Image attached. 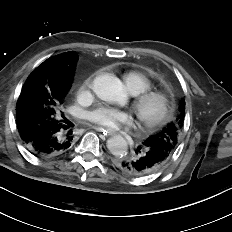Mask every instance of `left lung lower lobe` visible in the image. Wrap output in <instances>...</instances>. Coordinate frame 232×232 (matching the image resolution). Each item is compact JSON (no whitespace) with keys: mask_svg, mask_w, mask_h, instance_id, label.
<instances>
[{"mask_svg":"<svg viewBox=\"0 0 232 232\" xmlns=\"http://www.w3.org/2000/svg\"><path fill=\"white\" fill-rule=\"evenodd\" d=\"M170 154L163 148L143 142L135 149L132 159L116 161L117 167L131 176H146L159 170L169 159Z\"/></svg>","mask_w":232,"mask_h":232,"instance_id":"left-lung-lower-lobe-1","label":"left lung lower lobe"}]
</instances>
